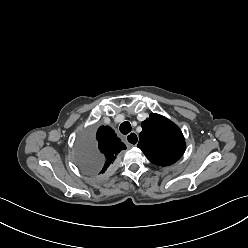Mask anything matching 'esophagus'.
<instances>
[{
    "label": "esophagus",
    "instance_id": "34e87169",
    "mask_svg": "<svg viewBox=\"0 0 248 248\" xmlns=\"http://www.w3.org/2000/svg\"><path fill=\"white\" fill-rule=\"evenodd\" d=\"M139 137L137 133L131 132L126 136V142L130 146H136L138 143Z\"/></svg>",
    "mask_w": 248,
    "mask_h": 248
}]
</instances>
